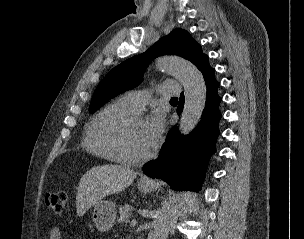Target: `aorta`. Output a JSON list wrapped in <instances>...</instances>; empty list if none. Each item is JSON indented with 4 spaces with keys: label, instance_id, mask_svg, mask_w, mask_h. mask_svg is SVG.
Wrapping results in <instances>:
<instances>
[{
    "label": "aorta",
    "instance_id": "1",
    "mask_svg": "<svg viewBox=\"0 0 304 239\" xmlns=\"http://www.w3.org/2000/svg\"><path fill=\"white\" fill-rule=\"evenodd\" d=\"M156 68L176 77L182 83L185 103L179 129L182 134H189L199 122L205 107L207 88L203 75L195 65L175 56L157 59ZM172 216V206H163L154 222L153 239L168 238Z\"/></svg>",
    "mask_w": 304,
    "mask_h": 239
}]
</instances>
